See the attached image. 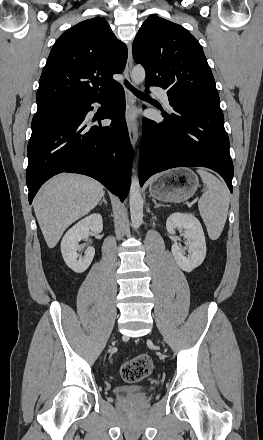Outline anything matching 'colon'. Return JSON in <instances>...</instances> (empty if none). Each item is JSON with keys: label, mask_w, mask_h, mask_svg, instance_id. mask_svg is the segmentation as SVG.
Listing matches in <instances>:
<instances>
[{"label": "colon", "mask_w": 263, "mask_h": 440, "mask_svg": "<svg viewBox=\"0 0 263 440\" xmlns=\"http://www.w3.org/2000/svg\"><path fill=\"white\" fill-rule=\"evenodd\" d=\"M153 369V362L146 354L138 355L125 362L119 371L120 378L128 383H136L146 378Z\"/></svg>", "instance_id": "obj_1"}]
</instances>
